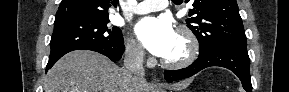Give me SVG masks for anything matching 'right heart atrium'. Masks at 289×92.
Returning <instances> with one entry per match:
<instances>
[{
    "label": "right heart atrium",
    "instance_id": "obj_1",
    "mask_svg": "<svg viewBox=\"0 0 289 92\" xmlns=\"http://www.w3.org/2000/svg\"><path fill=\"white\" fill-rule=\"evenodd\" d=\"M125 52L128 59L132 62L142 63L144 61V51L140 44L133 39L127 41Z\"/></svg>",
    "mask_w": 289,
    "mask_h": 92
}]
</instances>
